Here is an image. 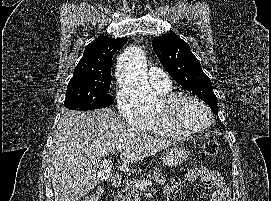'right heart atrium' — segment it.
I'll return each instance as SVG.
<instances>
[{"mask_svg":"<svg viewBox=\"0 0 271 201\" xmlns=\"http://www.w3.org/2000/svg\"><path fill=\"white\" fill-rule=\"evenodd\" d=\"M117 109L125 122L128 124L143 128L147 125L149 118L140 114L122 91L116 93Z\"/></svg>","mask_w":271,"mask_h":201,"instance_id":"d8ad5b80","label":"right heart atrium"}]
</instances>
